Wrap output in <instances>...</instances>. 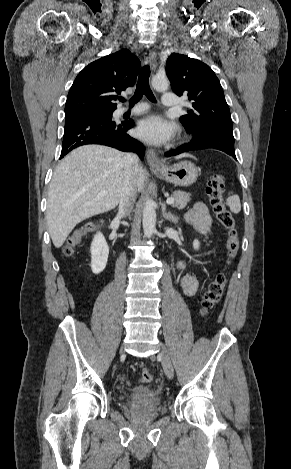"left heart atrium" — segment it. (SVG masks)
<instances>
[{"instance_id": "39dd6f15", "label": "left heart atrium", "mask_w": 291, "mask_h": 469, "mask_svg": "<svg viewBox=\"0 0 291 469\" xmlns=\"http://www.w3.org/2000/svg\"><path fill=\"white\" fill-rule=\"evenodd\" d=\"M175 127L159 115H150L143 119L138 128L137 135L140 139L151 144H163L174 134Z\"/></svg>"}]
</instances>
